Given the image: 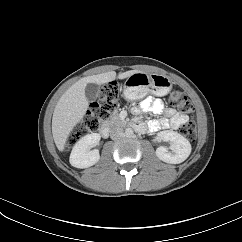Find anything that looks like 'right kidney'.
Segmentation results:
<instances>
[{
    "label": "right kidney",
    "instance_id": "ca27d5eb",
    "mask_svg": "<svg viewBox=\"0 0 242 242\" xmlns=\"http://www.w3.org/2000/svg\"><path fill=\"white\" fill-rule=\"evenodd\" d=\"M100 134L92 133L82 137L73 147L70 164L76 168H88L98 162L100 155L97 149L90 150L100 142Z\"/></svg>",
    "mask_w": 242,
    "mask_h": 242
}]
</instances>
